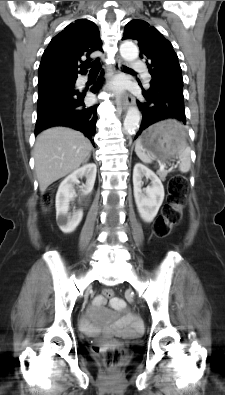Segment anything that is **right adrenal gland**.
<instances>
[{"label": "right adrenal gland", "instance_id": "right-adrenal-gland-1", "mask_svg": "<svg viewBox=\"0 0 225 395\" xmlns=\"http://www.w3.org/2000/svg\"><path fill=\"white\" fill-rule=\"evenodd\" d=\"M89 158H90V155L87 157L86 162L89 160Z\"/></svg>", "mask_w": 225, "mask_h": 395}]
</instances>
